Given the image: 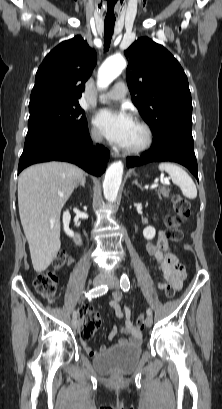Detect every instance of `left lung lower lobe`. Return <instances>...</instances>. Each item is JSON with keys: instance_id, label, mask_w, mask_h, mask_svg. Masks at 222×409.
<instances>
[{"instance_id": "0a47b994", "label": "left lung lower lobe", "mask_w": 222, "mask_h": 409, "mask_svg": "<svg viewBox=\"0 0 222 409\" xmlns=\"http://www.w3.org/2000/svg\"><path fill=\"white\" fill-rule=\"evenodd\" d=\"M157 161L180 163L187 167L198 180V166L191 131L177 128L161 131L154 135L153 145L148 152L140 157L127 158V167Z\"/></svg>"}]
</instances>
